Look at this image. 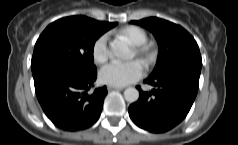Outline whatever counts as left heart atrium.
<instances>
[{
	"instance_id": "obj_1",
	"label": "left heart atrium",
	"mask_w": 238,
	"mask_h": 145,
	"mask_svg": "<svg viewBox=\"0 0 238 145\" xmlns=\"http://www.w3.org/2000/svg\"><path fill=\"white\" fill-rule=\"evenodd\" d=\"M142 73L143 67L139 61H114L100 70L99 79L103 84L121 87L138 80Z\"/></svg>"
}]
</instances>
